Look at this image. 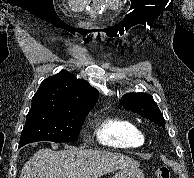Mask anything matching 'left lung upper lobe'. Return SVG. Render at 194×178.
<instances>
[{
  "mask_svg": "<svg viewBox=\"0 0 194 178\" xmlns=\"http://www.w3.org/2000/svg\"><path fill=\"white\" fill-rule=\"evenodd\" d=\"M120 102L127 111L140 114L157 125L165 127L163 114L160 112L157 103L151 95L144 93H129L124 95Z\"/></svg>",
  "mask_w": 194,
  "mask_h": 178,
  "instance_id": "5c2ea615",
  "label": "left lung upper lobe"
}]
</instances>
